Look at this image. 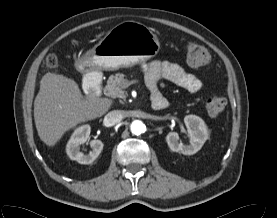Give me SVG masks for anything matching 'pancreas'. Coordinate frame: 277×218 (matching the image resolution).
<instances>
[{
	"label": "pancreas",
	"mask_w": 277,
	"mask_h": 218,
	"mask_svg": "<svg viewBox=\"0 0 277 218\" xmlns=\"http://www.w3.org/2000/svg\"><path fill=\"white\" fill-rule=\"evenodd\" d=\"M125 75L123 73H116L111 75L107 80V85L104 88L105 94L110 97H120L124 98L126 96L125 91L123 90L126 86Z\"/></svg>",
	"instance_id": "cf45deb5"
}]
</instances>
